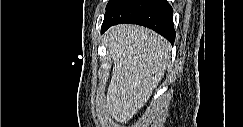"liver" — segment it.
<instances>
[{
	"label": "liver",
	"mask_w": 243,
	"mask_h": 127,
	"mask_svg": "<svg viewBox=\"0 0 243 127\" xmlns=\"http://www.w3.org/2000/svg\"><path fill=\"white\" fill-rule=\"evenodd\" d=\"M104 39L114 61L105 106L113 119L127 123L163 78L171 48L162 36L136 25L114 26Z\"/></svg>",
	"instance_id": "1"
}]
</instances>
